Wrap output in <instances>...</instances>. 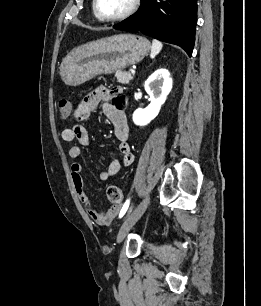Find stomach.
<instances>
[{
    "label": "stomach",
    "instance_id": "stomach-1",
    "mask_svg": "<svg viewBox=\"0 0 261 306\" xmlns=\"http://www.w3.org/2000/svg\"><path fill=\"white\" fill-rule=\"evenodd\" d=\"M150 42L134 34H116L84 44L63 60L60 76L67 85H80L101 74H111L141 61Z\"/></svg>",
    "mask_w": 261,
    "mask_h": 306
}]
</instances>
